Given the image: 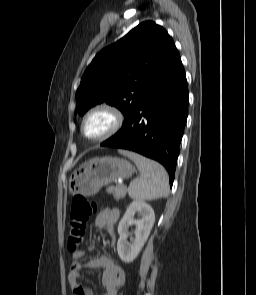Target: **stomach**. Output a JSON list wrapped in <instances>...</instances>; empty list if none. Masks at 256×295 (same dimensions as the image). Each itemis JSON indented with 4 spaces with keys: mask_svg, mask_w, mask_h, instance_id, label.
Returning <instances> with one entry per match:
<instances>
[{
    "mask_svg": "<svg viewBox=\"0 0 256 295\" xmlns=\"http://www.w3.org/2000/svg\"><path fill=\"white\" fill-rule=\"evenodd\" d=\"M135 172L127 160L112 156L96 157L82 164L69 180L72 195L91 196L118 178H128Z\"/></svg>",
    "mask_w": 256,
    "mask_h": 295,
    "instance_id": "stomach-1",
    "label": "stomach"
}]
</instances>
